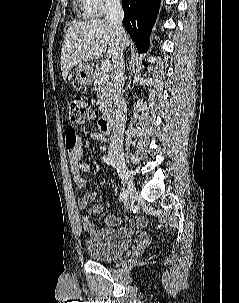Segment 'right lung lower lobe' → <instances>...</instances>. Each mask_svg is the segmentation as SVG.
I'll list each match as a JSON object with an SVG mask.
<instances>
[{"instance_id": "right-lung-lower-lobe-1", "label": "right lung lower lobe", "mask_w": 239, "mask_h": 303, "mask_svg": "<svg viewBox=\"0 0 239 303\" xmlns=\"http://www.w3.org/2000/svg\"><path fill=\"white\" fill-rule=\"evenodd\" d=\"M160 0H122L123 25L139 53L148 50L149 34L155 22Z\"/></svg>"}]
</instances>
